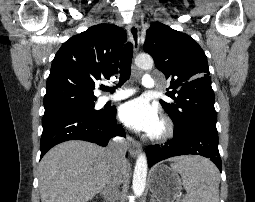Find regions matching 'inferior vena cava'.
Returning a JSON list of instances; mask_svg holds the SVG:
<instances>
[{"mask_svg":"<svg viewBox=\"0 0 255 202\" xmlns=\"http://www.w3.org/2000/svg\"><path fill=\"white\" fill-rule=\"evenodd\" d=\"M126 149V141L121 137H117L108 145V150L115 160V167L106 182L104 191L106 192L108 198L111 200L116 199L118 196V189L123 177V166L127 162L124 156Z\"/></svg>","mask_w":255,"mask_h":202,"instance_id":"602c4592","label":"inferior vena cava"}]
</instances>
